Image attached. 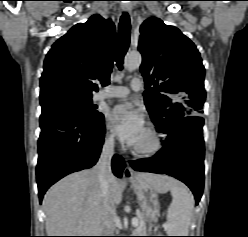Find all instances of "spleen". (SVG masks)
Returning <instances> with one entry per match:
<instances>
[{"mask_svg":"<svg viewBox=\"0 0 248 237\" xmlns=\"http://www.w3.org/2000/svg\"><path fill=\"white\" fill-rule=\"evenodd\" d=\"M172 202L168 208L166 231L168 236H187L192 217L194 199L188 189L179 182L170 187Z\"/></svg>","mask_w":248,"mask_h":237,"instance_id":"obj_1","label":"spleen"}]
</instances>
